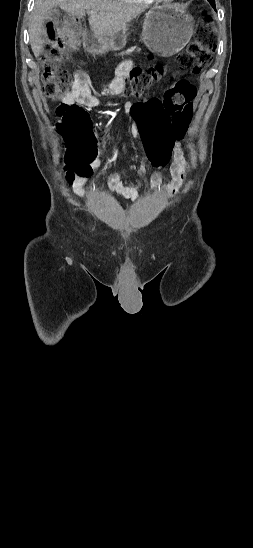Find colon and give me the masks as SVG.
Here are the masks:
<instances>
[{"label": "colon", "mask_w": 253, "mask_h": 548, "mask_svg": "<svg viewBox=\"0 0 253 548\" xmlns=\"http://www.w3.org/2000/svg\"><path fill=\"white\" fill-rule=\"evenodd\" d=\"M215 40L208 20L200 27L194 41L176 57L180 70L198 74L211 61ZM71 45L55 44L42 58L43 92L49 99L66 95L72 79L64 69L69 59ZM163 72L160 65L147 71L134 69L123 83V93L127 96H142ZM165 92L157 88L149 98H139L133 107L129 123L134 133H139L145 142L151 165L167 166L171 158V146L176 137H183L192 114V101L196 89L188 76H175L162 83ZM165 95V98L163 97ZM60 118V132L66 142L64 164L69 180L88 176L89 164L98 155V145L87 112L77 104H61L57 109Z\"/></svg>", "instance_id": "1"}]
</instances>
